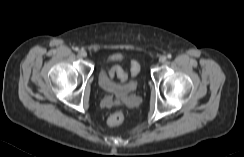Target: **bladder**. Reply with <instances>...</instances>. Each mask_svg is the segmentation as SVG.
Listing matches in <instances>:
<instances>
[{
  "instance_id": "bladder-1",
  "label": "bladder",
  "mask_w": 244,
  "mask_h": 157,
  "mask_svg": "<svg viewBox=\"0 0 244 157\" xmlns=\"http://www.w3.org/2000/svg\"><path fill=\"white\" fill-rule=\"evenodd\" d=\"M98 82L100 88L107 94L124 98L137 89V81L131 79L123 84H117L107 74V62H103L98 73Z\"/></svg>"
}]
</instances>
